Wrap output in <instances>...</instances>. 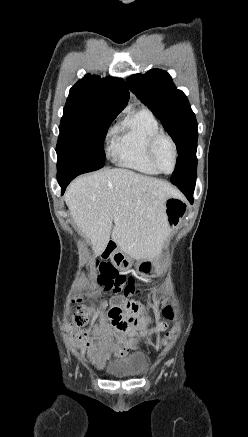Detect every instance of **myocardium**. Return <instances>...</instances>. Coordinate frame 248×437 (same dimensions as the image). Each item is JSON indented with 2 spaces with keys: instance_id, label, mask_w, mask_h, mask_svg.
<instances>
[{
  "instance_id": "f54148a6",
  "label": "myocardium",
  "mask_w": 248,
  "mask_h": 437,
  "mask_svg": "<svg viewBox=\"0 0 248 437\" xmlns=\"http://www.w3.org/2000/svg\"><path fill=\"white\" fill-rule=\"evenodd\" d=\"M163 139L168 140L172 146V149H173L174 161H173L172 170L170 172L163 171L161 169V167L159 166V163L157 161V156H156L157 147H158V144L160 143V141ZM147 152H148V157H149L151 164L159 173L171 174L175 171V169L177 167V163H178L179 152H178L177 144L171 135H169L165 132H162V131H159L156 134H154L148 143Z\"/></svg>"
}]
</instances>
